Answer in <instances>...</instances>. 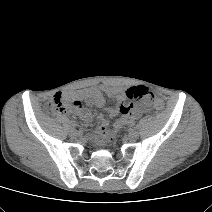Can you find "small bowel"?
Listing matches in <instances>:
<instances>
[{"instance_id":"1","label":"small bowel","mask_w":212,"mask_h":212,"mask_svg":"<svg viewBox=\"0 0 212 212\" xmlns=\"http://www.w3.org/2000/svg\"><path fill=\"white\" fill-rule=\"evenodd\" d=\"M105 94L111 97L115 102L114 106L108 110L109 115L119 117L118 121L115 123L114 131L118 130L123 125L132 124L137 118L150 109L149 102L146 100H142L138 103H126L128 97L127 90L108 85L90 87L67 96L61 93L55 96H60L64 100H73V103L79 102L81 107H76V114L84 121L88 122L92 119V114L88 110L82 108V102L96 107H102L105 104ZM98 120L100 122L98 135L100 137L110 135L111 132L108 129V122L104 115L100 114Z\"/></svg>"}]
</instances>
